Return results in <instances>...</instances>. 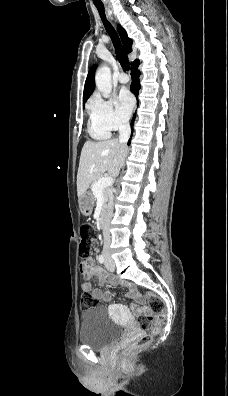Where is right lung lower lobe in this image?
Returning a JSON list of instances; mask_svg holds the SVG:
<instances>
[{"mask_svg":"<svg viewBox=\"0 0 228 396\" xmlns=\"http://www.w3.org/2000/svg\"><path fill=\"white\" fill-rule=\"evenodd\" d=\"M138 66H139V61L135 62L131 68L132 84H131L130 90L136 97L138 96V91L140 89V84H139L140 72L138 71ZM134 119H135V114L131 121V126L133 125ZM128 144H130V141L128 142Z\"/></svg>","mask_w":228,"mask_h":396,"instance_id":"98d812e1","label":"right lung lower lobe"}]
</instances>
